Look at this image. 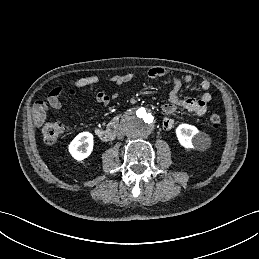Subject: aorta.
I'll return each instance as SVG.
<instances>
[{
	"instance_id": "762f6f07",
	"label": "aorta",
	"mask_w": 259,
	"mask_h": 259,
	"mask_svg": "<svg viewBox=\"0 0 259 259\" xmlns=\"http://www.w3.org/2000/svg\"><path fill=\"white\" fill-rule=\"evenodd\" d=\"M122 129L131 139H143L150 135L155 125L153 113L147 108L129 112L122 120Z\"/></svg>"
}]
</instances>
